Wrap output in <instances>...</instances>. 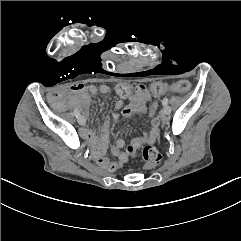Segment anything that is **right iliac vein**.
<instances>
[{"mask_svg":"<svg viewBox=\"0 0 241 241\" xmlns=\"http://www.w3.org/2000/svg\"><path fill=\"white\" fill-rule=\"evenodd\" d=\"M77 121L80 125H85L86 123L85 118L81 115L78 116Z\"/></svg>","mask_w":241,"mask_h":241,"instance_id":"right-iliac-vein-1","label":"right iliac vein"}]
</instances>
